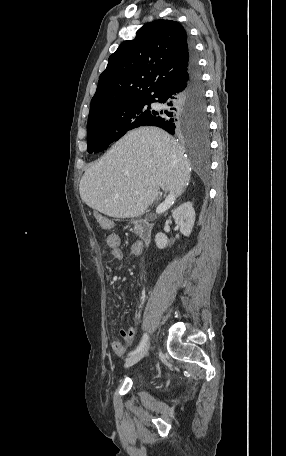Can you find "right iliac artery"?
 <instances>
[{
    "mask_svg": "<svg viewBox=\"0 0 286 456\" xmlns=\"http://www.w3.org/2000/svg\"><path fill=\"white\" fill-rule=\"evenodd\" d=\"M147 341H148V335L145 333L143 335L142 340H141L140 344L138 345V347L134 351L130 352L129 356L140 352L145 347Z\"/></svg>",
    "mask_w": 286,
    "mask_h": 456,
    "instance_id": "obj_1",
    "label": "right iliac artery"
}]
</instances>
